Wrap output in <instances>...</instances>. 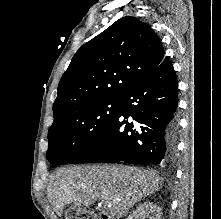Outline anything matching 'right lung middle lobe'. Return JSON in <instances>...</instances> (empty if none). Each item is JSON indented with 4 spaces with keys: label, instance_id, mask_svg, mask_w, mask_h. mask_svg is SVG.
<instances>
[{
    "label": "right lung middle lobe",
    "instance_id": "right-lung-middle-lobe-1",
    "mask_svg": "<svg viewBox=\"0 0 221 219\" xmlns=\"http://www.w3.org/2000/svg\"><path fill=\"white\" fill-rule=\"evenodd\" d=\"M120 101V98L92 101L54 120L48 131V161L63 165L88 149L115 118Z\"/></svg>",
    "mask_w": 221,
    "mask_h": 219
}]
</instances>
